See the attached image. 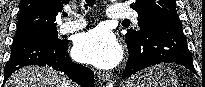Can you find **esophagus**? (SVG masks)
Instances as JSON below:
<instances>
[{
    "label": "esophagus",
    "instance_id": "esophagus-1",
    "mask_svg": "<svg viewBox=\"0 0 205 87\" xmlns=\"http://www.w3.org/2000/svg\"><path fill=\"white\" fill-rule=\"evenodd\" d=\"M99 80L105 82L110 78V74L107 72H98Z\"/></svg>",
    "mask_w": 205,
    "mask_h": 87
}]
</instances>
